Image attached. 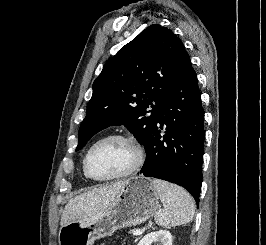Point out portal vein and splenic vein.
Instances as JSON below:
<instances>
[{
    "label": "portal vein and splenic vein",
    "instance_id": "portal-vein-and-splenic-vein-1",
    "mask_svg": "<svg viewBox=\"0 0 266 245\" xmlns=\"http://www.w3.org/2000/svg\"><path fill=\"white\" fill-rule=\"evenodd\" d=\"M142 233H144V231H133L132 235H135V237H137V235H142Z\"/></svg>",
    "mask_w": 266,
    "mask_h": 245
}]
</instances>
